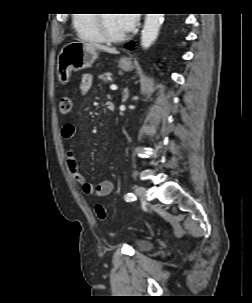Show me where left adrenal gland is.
<instances>
[{"instance_id": "a2214340", "label": "left adrenal gland", "mask_w": 252, "mask_h": 303, "mask_svg": "<svg viewBox=\"0 0 252 303\" xmlns=\"http://www.w3.org/2000/svg\"><path fill=\"white\" fill-rule=\"evenodd\" d=\"M128 96H129V91L128 89H125L123 93V100L126 101L128 99Z\"/></svg>"}]
</instances>
